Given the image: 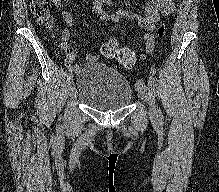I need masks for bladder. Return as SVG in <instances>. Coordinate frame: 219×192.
Returning <instances> with one entry per match:
<instances>
[{
    "label": "bladder",
    "mask_w": 219,
    "mask_h": 192,
    "mask_svg": "<svg viewBox=\"0 0 219 192\" xmlns=\"http://www.w3.org/2000/svg\"><path fill=\"white\" fill-rule=\"evenodd\" d=\"M76 85L75 96L98 111L126 108L134 95L132 85L124 75L99 62L82 65L76 74Z\"/></svg>",
    "instance_id": "bladder-1"
}]
</instances>
